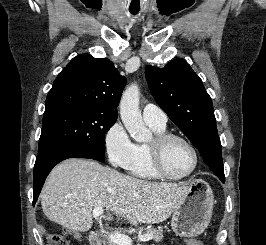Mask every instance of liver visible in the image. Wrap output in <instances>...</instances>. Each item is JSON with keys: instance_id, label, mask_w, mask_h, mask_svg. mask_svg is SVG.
Returning <instances> with one entry per match:
<instances>
[{"instance_id": "6515ba94", "label": "liver", "mask_w": 266, "mask_h": 245, "mask_svg": "<svg viewBox=\"0 0 266 245\" xmlns=\"http://www.w3.org/2000/svg\"><path fill=\"white\" fill-rule=\"evenodd\" d=\"M189 187L182 183H151L121 175L92 159H67L51 171L41 193L44 215L71 231L85 233L93 225L92 211L105 207L129 225H154L171 217L183 203Z\"/></svg>"}]
</instances>
